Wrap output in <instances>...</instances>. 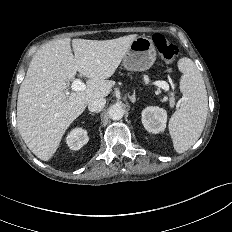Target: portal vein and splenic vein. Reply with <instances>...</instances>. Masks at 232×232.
I'll return each mask as SVG.
<instances>
[{"instance_id":"obj_1","label":"portal vein and splenic vein","mask_w":232,"mask_h":232,"mask_svg":"<svg viewBox=\"0 0 232 232\" xmlns=\"http://www.w3.org/2000/svg\"><path fill=\"white\" fill-rule=\"evenodd\" d=\"M155 84L165 91L169 90V84L165 81H157ZM85 88L86 85L80 79H75L71 84V89L73 91H83Z\"/></svg>"}]
</instances>
